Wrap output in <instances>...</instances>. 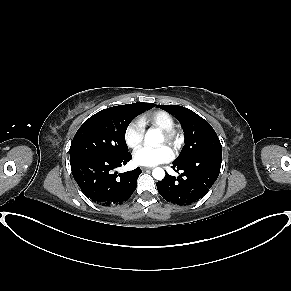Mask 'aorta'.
I'll return each instance as SVG.
<instances>
[{
	"label": "aorta",
	"mask_w": 291,
	"mask_h": 291,
	"mask_svg": "<svg viewBox=\"0 0 291 291\" xmlns=\"http://www.w3.org/2000/svg\"><path fill=\"white\" fill-rule=\"evenodd\" d=\"M163 136L156 130H148L145 134V143L147 145H155L163 142ZM156 180H162L165 177V171L162 168H155L152 172Z\"/></svg>",
	"instance_id": "1"
}]
</instances>
